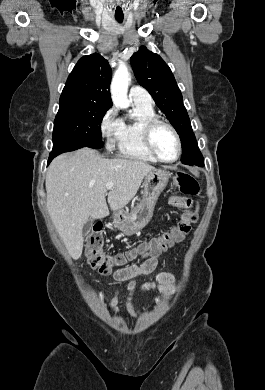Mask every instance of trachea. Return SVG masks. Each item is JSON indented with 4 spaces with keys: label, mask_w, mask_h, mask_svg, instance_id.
I'll return each mask as SVG.
<instances>
[{
    "label": "trachea",
    "mask_w": 265,
    "mask_h": 390,
    "mask_svg": "<svg viewBox=\"0 0 265 390\" xmlns=\"http://www.w3.org/2000/svg\"><path fill=\"white\" fill-rule=\"evenodd\" d=\"M117 22L119 23H122L123 22V18H115Z\"/></svg>",
    "instance_id": "1"
}]
</instances>
